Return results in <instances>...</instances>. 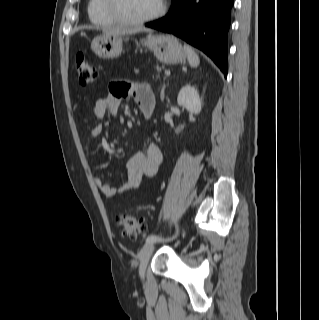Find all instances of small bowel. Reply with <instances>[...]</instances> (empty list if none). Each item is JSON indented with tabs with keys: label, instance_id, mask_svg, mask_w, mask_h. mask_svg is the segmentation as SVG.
<instances>
[{
	"label": "small bowel",
	"instance_id": "c3829d8e",
	"mask_svg": "<svg viewBox=\"0 0 319 320\" xmlns=\"http://www.w3.org/2000/svg\"><path fill=\"white\" fill-rule=\"evenodd\" d=\"M132 97L139 109L152 112L154 108V92L152 87L144 82H131L115 80L110 83L108 94L99 98L93 107L95 119H102L106 113L117 115L123 99ZM103 127L95 124L90 130V137L101 136ZM162 162V153L155 143H149L144 151L134 153L126 162L127 179L115 187L100 177L95 178V183L105 197L111 198L140 188L144 177H154Z\"/></svg>",
	"mask_w": 319,
	"mask_h": 320
}]
</instances>
